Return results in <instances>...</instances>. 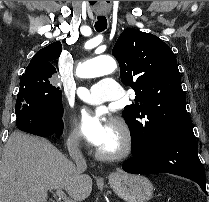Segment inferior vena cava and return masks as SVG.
I'll return each mask as SVG.
<instances>
[{
    "label": "inferior vena cava",
    "instance_id": "obj_1",
    "mask_svg": "<svg viewBox=\"0 0 209 202\" xmlns=\"http://www.w3.org/2000/svg\"><path fill=\"white\" fill-rule=\"evenodd\" d=\"M69 154L72 160L76 164V168L79 172H83L87 169L86 160L79 147V139H76L69 147Z\"/></svg>",
    "mask_w": 209,
    "mask_h": 202
}]
</instances>
